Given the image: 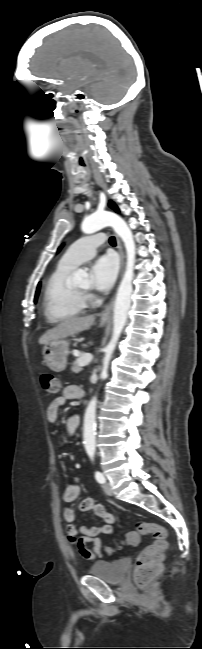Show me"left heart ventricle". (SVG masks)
Wrapping results in <instances>:
<instances>
[{
    "label": "left heart ventricle",
    "mask_w": 202,
    "mask_h": 649,
    "mask_svg": "<svg viewBox=\"0 0 202 649\" xmlns=\"http://www.w3.org/2000/svg\"><path fill=\"white\" fill-rule=\"evenodd\" d=\"M89 286H90V283H89V282H85V283H83V284H81V285H78L77 288H78V289H81V290H87V289L89 288Z\"/></svg>",
    "instance_id": "1"
}]
</instances>
